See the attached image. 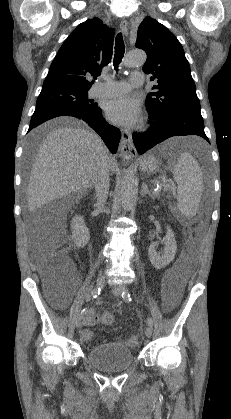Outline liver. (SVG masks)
<instances>
[{
    "label": "liver",
    "instance_id": "6515ba94",
    "mask_svg": "<svg viewBox=\"0 0 231 419\" xmlns=\"http://www.w3.org/2000/svg\"><path fill=\"white\" fill-rule=\"evenodd\" d=\"M64 119L51 121L32 132L48 130L39 146L27 187L28 208L34 212L43 205L86 191L95 183L99 165L108 160L116 169L115 159L101 138L81 127L60 126Z\"/></svg>",
    "mask_w": 231,
    "mask_h": 419
}]
</instances>
